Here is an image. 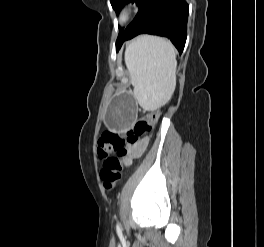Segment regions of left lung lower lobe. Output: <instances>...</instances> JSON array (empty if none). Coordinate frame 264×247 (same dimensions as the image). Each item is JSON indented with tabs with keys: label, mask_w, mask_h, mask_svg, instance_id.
<instances>
[{
	"label": "left lung lower lobe",
	"mask_w": 264,
	"mask_h": 247,
	"mask_svg": "<svg viewBox=\"0 0 264 247\" xmlns=\"http://www.w3.org/2000/svg\"><path fill=\"white\" fill-rule=\"evenodd\" d=\"M189 6L185 0H145L133 22L116 40V51L124 41L147 33L171 40L182 53L187 36Z\"/></svg>",
	"instance_id": "1"
}]
</instances>
